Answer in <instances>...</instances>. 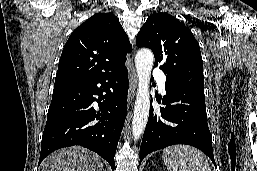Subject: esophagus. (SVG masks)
Here are the masks:
<instances>
[{
	"label": "esophagus",
	"instance_id": "esophagus-1",
	"mask_svg": "<svg viewBox=\"0 0 257 171\" xmlns=\"http://www.w3.org/2000/svg\"><path fill=\"white\" fill-rule=\"evenodd\" d=\"M136 87H137V77H136L135 70L132 69L130 72V84H129V94H128V102H127L128 107L135 95Z\"/></svg>",
	"mask_w": 257,
	"mask_h": 171
}]
</instances>
